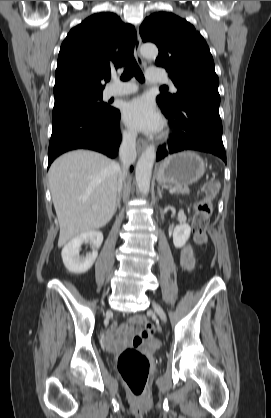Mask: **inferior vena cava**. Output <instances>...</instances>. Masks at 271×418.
I'll list each match as a JSON object with an SVG mask.
<instances>
[{"mask_svg": "<svg viewBox=\"0 0 271 418\" xmlns=\"http://www.w3.org/2000/svg\"><path fill=\"white\" fill-rule=\"evenodd\" d=\"M136 137H137L136 133L127 134L123 138L122 143L119 148V157H120V161L122 164L120 167L119 177H118L119 194L122 188V182L128 173V168L136 159Z\"/></svg>", "mask_w": 271, "mask_h": 418, "instance_id": "1", "label": "inferior vena cava"}]
</instances>
